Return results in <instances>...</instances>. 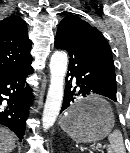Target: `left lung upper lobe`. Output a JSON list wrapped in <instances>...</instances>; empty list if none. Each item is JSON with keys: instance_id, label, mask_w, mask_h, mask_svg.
Masks as SVG:
<instances>
[{"instance_id": "left-lung-upper-lobe-1", "label": "left lung upper lobe", "mask_w": 130, "mask_h": 153, "mask_svg": "<svg viewBox=\"0 0 130 153\" xmlns=\"http://www.w3.org/2000/svg\"><path fill=\"white\" fill-rule=\"evenodd\" d=\"M56 37L64 38L79 51L93 57L115 81L111 48L97 28L79 17L69 15L60 22Z\"/></svg>"}]
</instances>
